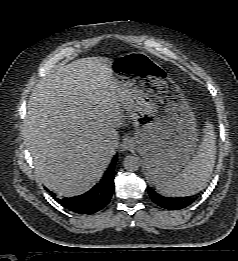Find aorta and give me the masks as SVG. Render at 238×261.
Masks as SVG:
<instances>
[{
  "mask_svg": "<svg viewBox=\"0 0 238 261\" xmlns=\"http://www.w3.org/2000/svg\"><path fill=\"white\" fill-rule=\"evenodd\" d=\"M123 166L127 171H137L140 167V160L136 156L128 155L123 160Z\"/></svg>",
  "mask_w": 238,
  "mask_h": 261,
  "instance_id": "obj_1",
  "label": "aorta"
}]
</instances>
